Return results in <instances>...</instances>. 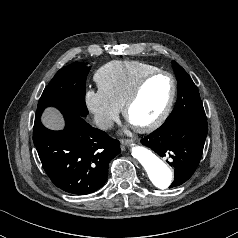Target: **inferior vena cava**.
<instances>
[{"label": "inferior vena cava", "mask_w": 238, "mask_h": 238, "mask_svg": "<svg viewBox=\"0 0 238 238\" xmlns=\"http://www.w3.org/2000/svg\"><path fill=\"white\" fill-rule=\"evenodd\" d=\"M95 124L100 128V129H110L113 127L114 122L108 117L104 116H96L95 117Z\"/></svg>", "instance_id": "602c4592"}]
</instances>
